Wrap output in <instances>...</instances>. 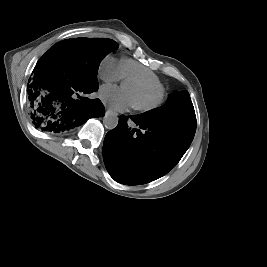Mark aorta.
<instances>
[{"label": "aorta", "mask_w": 267, "mask_h": 267, "mask_svg": "<svg viewBox=\"0 0 267 267\" xmlns=\"http://www.w3.org/2000/svg\"><path fill=\"white\" fill-rule=\"evenodd\" d=\"M103 124L105 128L112 130L118 125V117L115 113H107L103 117Z\"/></svg>", "instance_id": "obj_1"}]
</instances>
